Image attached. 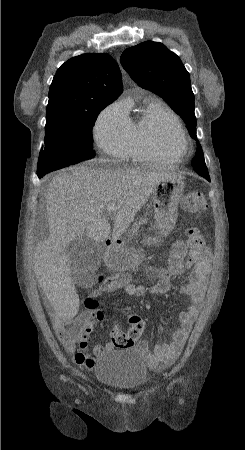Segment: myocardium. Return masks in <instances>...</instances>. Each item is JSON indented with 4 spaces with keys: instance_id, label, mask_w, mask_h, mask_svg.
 <instances>
[{
    "instance_id": "f54148a6",
    "label": "myocardium",
    "mask_w": 245,
    "mask_h": 450,
    "mask_svg": "<svg viewBox=\"0 0 245 450\" xmlns=\"http://www.w3.org/2000/svg\"><path fill=\"white\" fill-rule=\"evenodd\" d=\"M165 120L170 121V122L174 125L175 130H176V132H177L179 138H180V139L182 140V142H183L184 150H183V152H181V153L175 152V151L173 150V148H172V147L164 140L162 133H160V132H158V131H156V141H157V144H158V146H159L161 149H163V150L169 152V153L172 154L176 159H181V158H183V157L189 152V148H190V147H189V140H188V138H187V136H186V134H185V132H184V130H183V127H182L181 123H179V122H178L175 118H173V117H169V118H167V119H165Z\"/></svg>"
}]
</instances>
